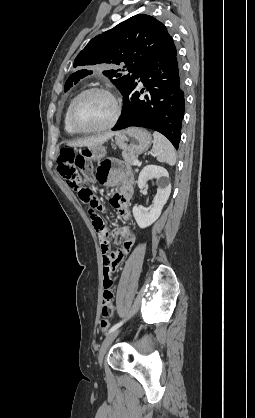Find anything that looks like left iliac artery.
Segmentation results:
<instances>
[{
  "mask_svg": "<svg viewBox=\"0 0 255 418\" xmlns=\"http://www.w3.org/2000/svg\"><path fill=\"white\" fill-rule=\"evenodd\" d=\"M124 321L125 320H122V321H120V322H118L117 324H115V325H113L110 329H109V331H108V333L106 334V335H108V334H110L111 332H113V331H115V330H117L123 323H124Z\"/></svg>",
  "mask_w": 255,
  "mask_h": 418,
  "instance_id": "left-iliac-artery-1",
  "label": "left iliac artery"
}]
</instances>
